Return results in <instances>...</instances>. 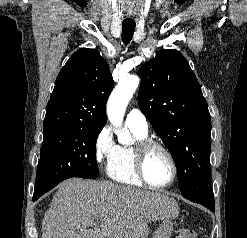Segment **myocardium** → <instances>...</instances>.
Returning a JSON list of instances; mask_svg holds the SVG:
<instances>
[{"instance_id": "1", "label": "myocardium", "mask_w": 247, "mask_h": 238, "mask_svg": "<svg viewBox=\"0 0 247 238\" xmlns=\"http://www.w3.org/2000/svg\"><path fill=\"white\" fill-rule=\"evenodd\" d=\"M155 148L160 149L162 152L165 153L172 167L171 179L167 183L162 184V185L151 183L148 180L146 173H145V161H146L147 155L152 149H155ZM135 169H136L137 175L139 176L140 180L146 186L150 188H154V189H165V188L170 187L175 182L177 178V174H178L177 163H176L175 157L173 153L171 152V150L165 144L157 140L150 139V138L140 140L135 145Z\"/></svg>"}]
</instances>
